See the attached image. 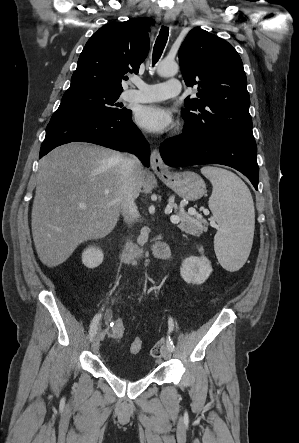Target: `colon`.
I'll return each instance as SVG.
<instances>
[{
    "instance_id": "1",
    "label": "colon",
    "mask_w": 299,
    "mask_h": 443,
    "mask_svg": "<svg viewBox=\"0 0 299 443\" xmlns=\"http://www.w3.org/2000/svg\"><path fill=\"white\" fill-rule=\"evenodd\" d=\"M126 332V324L123 319L117 318L111 322L110 327L108 328V336L114 340H120L124 337ZM167 341L165 339L158 340L151 350V355L154 358H160L165 347ZM142 349V340L140 337H135L130 345L129 352L133 355L138 354Z\"/></svg>"
}]
</instances>
